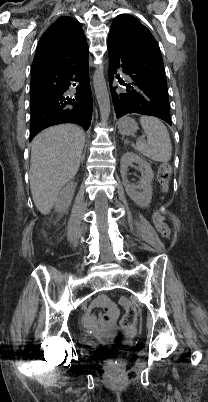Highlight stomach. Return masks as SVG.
Segmentation results:
<instances>
[{"label": "stomach", "mask_w": 208, "mask_h": 402, "mask_svg": "<svg viewBox=\"0 0 208 402\" xmlns=\"http://www.w3.org/2000/svg\"><path fill=\"white\" fill-rule=\"evenodd\" d=\"M118 130L120 134H124V136H133L138 130V124H136L135 120H132V118L125 116V118L119 120Z\"/></svg>", "instance_id": "0dacf381"}]
</instances>
